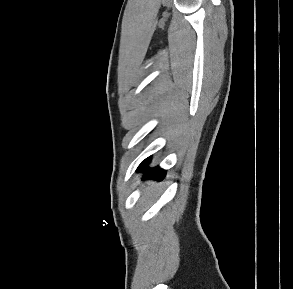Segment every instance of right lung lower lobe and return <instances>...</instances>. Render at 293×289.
I'll list each match as a JSON object with an SVG mask.
<instances>
[{"label":"right lung lower lobe","mask_w":293,"mask_h":289,"mask_svg":"<svg viewBox=\"0 0 293 289\" xmlns=\"http://www.w3.org/2000/svg\"><path fill=\"white\" fill-rule=\"evenodd\" d=\"M150 162V158L145 159L140 166L138 167V170H145V178H155V179H162L164 178L166 171L160 169L159 167L148 169V163Z\"/></svg>","instance_id":"1"}]
</instances>
